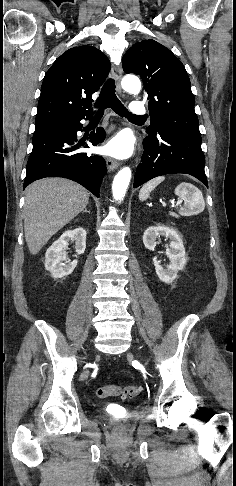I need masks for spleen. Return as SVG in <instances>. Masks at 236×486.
Returning <instances> with one entry per match:
<instances>
[{
  "label": "spleen",
  "mask_w": 236,
  "mask_h": 486,
  "mask_svg": "<svg viewBox=\"0 0 236 486\" xmlns=\"http://www.w3.org/2000/svg\"><path fill=\"white\" fill-rule=\"evenodd\" d=\"M165 179L164 176L156 177L145 183L139 192V199L146 200L152 190ZM175 194L184 201V206L179 213L183 216L197 215L205 209V201L202 192L193 184L183 182L175 188Z\"/></svg>",
  "instance_id": "3e777b00"
}]
</instances>
